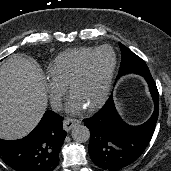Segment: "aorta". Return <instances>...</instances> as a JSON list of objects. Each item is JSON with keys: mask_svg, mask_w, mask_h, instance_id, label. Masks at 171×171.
Segmentation results:
<instances>
[{"mask_svg": "<svg viewBox=\"0 0 171 171\" xmlns=\"http://www.w3.org/2000/svg\"><path fill=\"white\" fill-rule=\"evenodd\" d=\"M74 141L79 143L87 142L90 138L89 128L82 124H77L74 126L71 132Z\"/></svg>", "mask_w": 171, "mask_h": 171, "instance_id": "obj_1", "label": "aorta"}]
</instances>
